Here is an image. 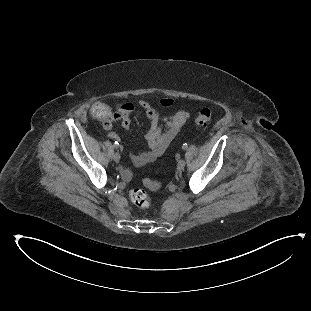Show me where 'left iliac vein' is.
Here are the masks:
<instances>
[{
  "label": "left iliac vein",
  "instance_id": "1",
  "mask_svg": "<svg viewBox=\"0 0 311 311\" xmlns=\"http://www.w3.org/2000/svg\"><path fill=\"white\" fill-rule=\"evenodd\" d=\"M185 164H186L185 161L183 159H180L177 164V169L180 171L183 170L185 167Z\"/></svg>",
  "mask_w": 311,
  "mask_h": 311
}]
</instances>
